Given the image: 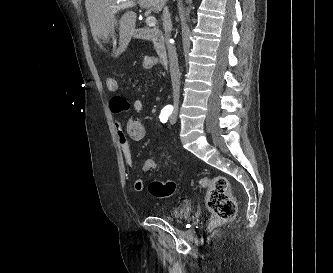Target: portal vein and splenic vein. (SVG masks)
<instances>
[{
  "label": "portal vein and splenic vein",
  "instance_id": "18ae733b",
  "mask_svg": "<svg viewBox=\"0 0 333 273\" xmlns=\"http://www.w3.org/2000/svg\"><path fill=\"white\" fill-rule=\"evenodd\" d=\"M122 3H118V5L115 7V11H119L121 9H126L129 7H133L136 5V3L132 0H121ZM146 24L149 27H154L156 25V18L154 16H148L146 18Z\"/></svg>",
  "mask_w": 333,
  "mask_h": 273
}]
</instances>
